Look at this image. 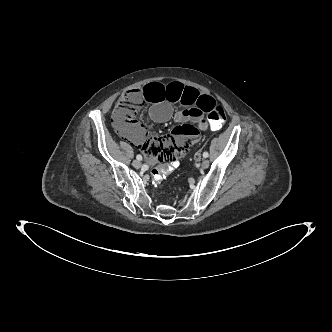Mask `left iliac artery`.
Returning <instances> with one entry per match:
<instances>
[{
    "label": "left iliac artery",
    "mask_w": 332,
    "mask_h": 332,
    "mask_svg": "<svg viewBox=\"0 0 332 332\" xmlns=\"http://www.w3.org/2000/svg\"><path fill=\"white\" fill-rule=\"evenodd\" d=\"M209 156V153L207 152V151H205L204 153H203V157L204 158H207Z\"/></svg>",
    "instance_id": "1"
}]
</instances>
